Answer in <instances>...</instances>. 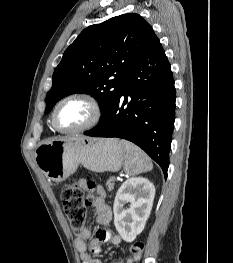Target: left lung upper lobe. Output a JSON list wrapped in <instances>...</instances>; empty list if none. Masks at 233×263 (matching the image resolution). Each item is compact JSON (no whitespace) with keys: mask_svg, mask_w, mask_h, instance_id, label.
<instances>
[{"mask_svg":"<svg viewBox=\"0 0 233 263\" xmlns=\"http://www.w3.org/2000/svg\"><path fill=\"white\" fill-rule=\"evenodd\" d=\"M155 38L152 27L134 13L83 30L53 73L45 113L64 96L86 93L99 101L102 119L115 104L127 73Z\"/></svg>","mask_w":233,"mask_h":263,"instance_id":"obj_1","label":"left lung upper lobe"}]
</instances>
